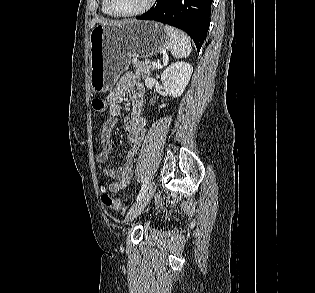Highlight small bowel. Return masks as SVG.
I'll return each mask as SVG.
<instances>
[{"label": "small bowel", "mask_w": 315, "mask_h": 293, "mask_svg": "<svg viewBox=\"0 0 315 293\" xmlns=\"http://www.w3.org/2000/svg\"><path fill=\"white\" fill-rule=\"evenodd\" d=\"M143 95L144 88L142 84L136 81L132 73H126L119 79L107 97L110 106L109 117L102 125L101 150L96 156V161L99 164H105L109 159L113 147L111 134L117 123L123 100L129 97L132 106L131 118L124 126L127 138L131 144L125 155L124 163L115 169H104V174L113 179L108 185V190L112 193L121 191L129 184L133 174L135 156L146 134L147 121L142 113Z\"/></svg>", "instance_id": "c3829d8e"}]
</instances>
